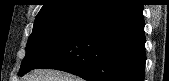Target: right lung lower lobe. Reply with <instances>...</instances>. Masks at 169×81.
Returning a JSON list of instances; mask_svg holds the SVG:
<instances>
[{
    "label": "right lung lower lobe",
    "instance_id": "right-lung-lower-lobe-1",
    "mask_svg": "<svg viewBox=\"0 0 169 81\" xmlns=\"http://www.w3.org/2000/svg\"><path fill=\"white\" fill-rule=\"evenodd\" d=\"M143 5L123 0L88 19L37 68L58 69L88 81H143Z\"/></svg>",
    "mask_w": 169,
    "mask_h": 81
}]
</instances>
